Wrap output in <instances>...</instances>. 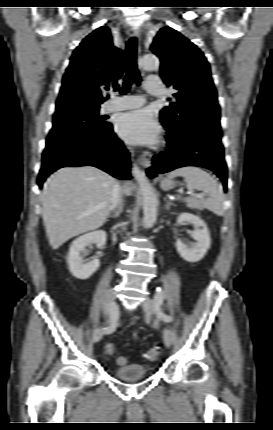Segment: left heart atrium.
<instances>
[{"instance_id": "left-heart-atrium-1", "label": "left heart atrium", "mask_w": 273, "mask_h": 430, "mask_svg": "<svg viewBox=\"0 0 273 430\" xmlns=\"http://www.w3.org/2000/svg\"><path fill=\"white\" fill-rule=\"evenodd\" d=\"M117 130L121 137L131 143H154L160 134V127L148 109L123 114L118 120Z\"/></svg>"}]
</instances>
